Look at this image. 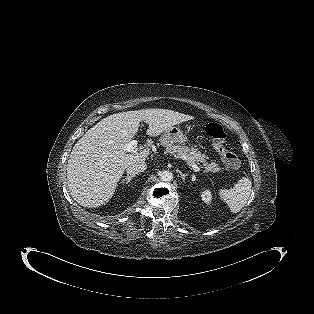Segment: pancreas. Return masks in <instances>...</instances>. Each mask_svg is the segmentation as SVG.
I'll list each match as a JSON object with an SVG mask.
<instances>
[{
    "instance_id": "cf45deb5",
    "label": "pancreas",
    "mask_w": 314,
    "mask_h": 314,
    "mask_svg": "<svg viewBox=\"0 0 314 314\" xmlns=\"http://www.w3.org/2000/svg\"><path fill=\"white\" fill-rule=\"evenodd\" d=\"M165 153L170 154L176 158H181L186 161L189 166H192L196 163H202L206 172H219L221 167L218 166L215 162L208 163L206 162L205 154H202L198 151L196 146L191 148L184 145H179L175 143H166L164 144Z\"/></svg>"
}]
</instances>
